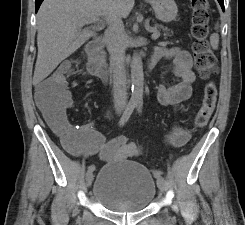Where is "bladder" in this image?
Returning <instances> with one entry per match:
<instances>
[{
  "label": "bladder",
  "instance_id": "1",
  "mask_svg": "<svg viewBox=\"0 0 245 225\" xmlns=\"http://www.w3.org/2000/svg\"><path fill=\"white\" fill-rule=\"evenodd\" d=\"M157 183L143 164L125 159L102 166L92 190L93 199L115 213H134L148 208L156 196Z\"/></svg>",
  "mask_w": 245,
  "mask_h": 225
}]
</instances>
